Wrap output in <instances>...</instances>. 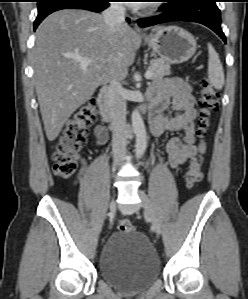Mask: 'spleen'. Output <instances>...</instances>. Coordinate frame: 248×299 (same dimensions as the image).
<instances>
[{"instance_id":"3e777b00","label":"spleen","mask_w":248,"mask_h":299,"mask_svg":"<svg viewBox=\"0 0 248 299\" xmlns=\"http://www.w3.org/2000/svg\"><path fill=\"white\" fill-rule=\"evenodd\" d=\"M208 77L210 83L216 88L221 89L224 85V71L218 53L214 47L208 44Z\"/></svg>"}]
</instances>
